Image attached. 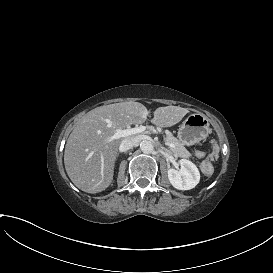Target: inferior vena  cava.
Wrapping results in <instances>:
<instances>
[{
    "mask_svg": "<svg viewBox=\"0 0 273 273\" xmlns=\"http://www.w3.org/2000/svg\"><path fill=\"white\" fill-rule=\"evenodd\" d=\"M139 141L140 139L137 136L126 138L120 145V151L126 152L128 150H131L139 143Z\"/></svg>",
    "mask_w": 273,
    "mask_h": 273,
    "instance_id": "1",
    "label": "inferior vena cava"
}]
</instances>
